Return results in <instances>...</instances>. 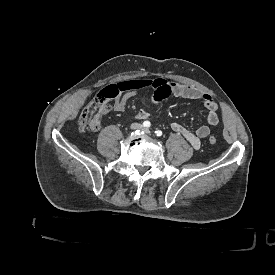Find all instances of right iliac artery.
I'll return each mask as SVG.
<instances>
[{
	"label": "right iliac artery",
	"mask_w": 275,
	"mask_h": 275,
	"mask_svg": "<svg viewBox=\"0 0 275 275\" xmlns=\"http://www.w3.org/2000/svg\"><path fill=\"white\" fill-rule=\"evenodd\" d=\"M150 125H151V124H150L149 121H144V122H143V126L146 127V128L150 127Z\"/></svg>",
	"instance_id": "obj_1"
}]
</instances>
